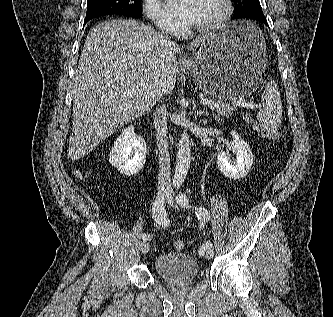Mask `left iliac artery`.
I'll use <instances>...</instances> for the list:
<instances>
[{
    "instance_id": "1",
    "label": "left iliac artery",
    "mask_w": 333,
    "mask_h": 317,
    "mask_svg": "<svg viewBox=\"0 0 333 317\" xmlns=\"http://www.w3.org/2000/svg\"><path fill=\"white\" fill-rule=\"evenodd\" d=\"M176 188L179 189L180 185H177ZM176 201L182 207H188V208L191 207L190 204H189V198L186 194L179 193L176 196ZM195 213H196L198 219H201V220H204V221H208L211 218L210 213L204 207L195 208ZM207 246H208V243L206 242L205 244H203L200 247V249H199V255L200 256H203L205 254V249H206Z\"/></svg>"
}]
</instances>
